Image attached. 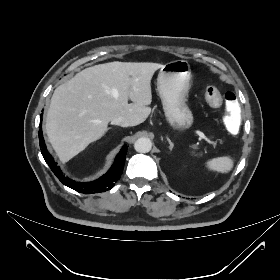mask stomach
I'll list each match as a JSON object with an SVG mask.
<instances>
[{"label":"stomach","instance_id":"stomach-1","mask_svg":"<svg viewBox=\"0 0 280 280\" xmlns=\"http://www.w3.org/2000/svg\"><path fill=\"white\" fill-rule=\"evenodd\" d=\"M191 70L188 61L175 60L163 65L157 78V90L163 110L171 126L188 129L193 124V114L187 105Z\"/></svg>","mask_w":280,"mask_h":280}]
</instances>
